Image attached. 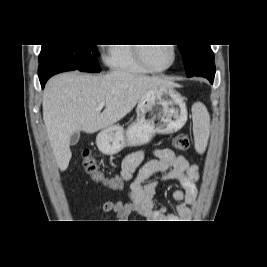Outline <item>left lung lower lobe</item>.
I'll list each match as a JSON object with an SVG mask.
<instances>
[{
	"mask_svg": "<svg viewBox=\"0 0 267 267\" xmlns=\"http://www.w3.org/2000/svg\"><path fill=\"white\" fill-rule=\"evenodd\" d=\"M192 76H200L207 78L211 83H213L215 76V65H207L200 68L198 71L194 73ZM191 76V77H192Z\"/></svg>",
	"mask_w": 267,
	"mask_h": 267,
	"instance_id": "1",
	"label": "left lung lower lobe"
}]
</instances>
